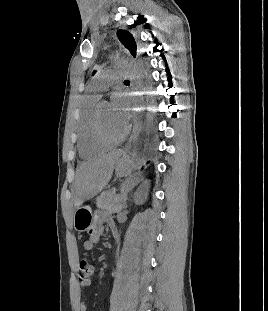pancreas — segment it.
I'll use <instances>...</instances> for the list:
<instances>
[{"mask_svg": "<svg viewBox=\"0 0 268 311\" xmlns=\"http://www.w3.org/2000/svg\"><path fill=\"white\" fill-rule=\"evenodd\" d=\"M97 207L112 213L121 212L124 207V195L116 194L115 190L104 192L97 200Z\"/></svg>", "mask_w": 268, "mask_h": 311, "instance_id": "cf45deb5", "label": "pancreas"}]
</instances>
